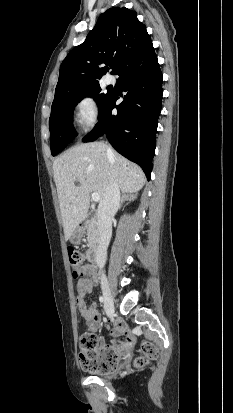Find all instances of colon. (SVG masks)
Listing matches in <instances>:
<instances>
[{
    "instance_id": "colon-1",
    "label": "colon",
    "mask_w": 233,
    "mask_h": 413,
    "mask_svg": "<svg viewBox=\"0 0 233 413\" xmlns=\"http://www.w3.org/2000/svg\"><path fill=\"white\" fill-rule=\"evenodd\" d=\"M69 262L72 267L73 277L80 282H88L92 276L94 267L88 261L86 255L73 248L68 249ZM80 363L84 370L92 373H107L116 368L118 355L112 349L101 350L99 339L90 332L83 333L79 338ZM143 357L136 360V366H143L146 359L157 355L156 346L150 342L142 343Z\"/></svg>"
}]
</instances>
